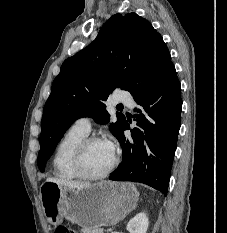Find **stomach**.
I'll use <instances>...</instances> for the list:
<instances>
[{"mask_svg":"<svg viewBox=\"0 0 227 233\" xmlns=\"http://www.w3.org/2000/svg\"><path fill=\"white\" fill-rule=\"evenodd\" d=\"M139 193L125 182L104 181L83 189L44 182L40 197L47 221L60 225L64 218L82 227L113 226L135 209Z\"/></svg>","mask_w":227,"mask_h":233,"instance_id":"obj_1","label":"stomach"}]
</instances>
